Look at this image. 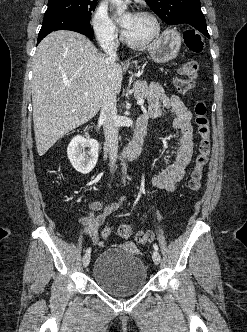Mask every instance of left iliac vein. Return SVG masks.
Segmentation results:
<instances>
[{
  "mask_svg": "<svg viewBox=\"0 0 247 332\" xmlns=\"http://www.w3.org/2000/svg\"><path fill=\"white\" fill-rule=\"evenodd\" d=\"M152 259H153V262L158 265L161 261V256L160 254L158 253V251H154L153 254H152Z\"/></svg>",
  "mask_w": 247,
  "mask_h": 332,
  "instance_id": "left-iliac-vein-1",
  "label": "left iliac vein"
}]
</instances>
